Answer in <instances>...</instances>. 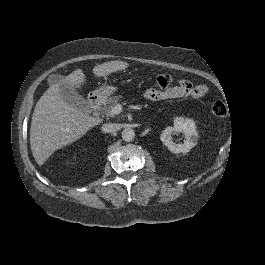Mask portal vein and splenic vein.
I'll list each match as a JSON object with an SVG mask.
<instances>
[{
    "instance_id": "1",
    "label": "portal vein and splenic vein",
    "mask_w": 265,
    "mask_h": 265,
    "mask_svg": "<svg viewBox=\"0 0 265 265\" xmlns=\"http://www.w3.org/2000/svg\"><path fill=\"white\" fill-rule=\"evenodd\" d=\"M121 112H122V108H121L120 105H116V106H114V107L112 108V110H111V114H112V115H118V114H120Z\"/></svg>"
}]
</instances>
